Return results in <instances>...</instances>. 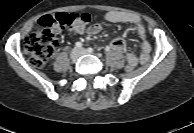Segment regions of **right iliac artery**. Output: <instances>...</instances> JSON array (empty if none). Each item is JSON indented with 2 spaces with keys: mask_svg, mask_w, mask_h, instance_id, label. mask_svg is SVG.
<instances>
[{
  "mask_svg": "<svg viewBox=\"0 0 194 133\" xmlns=\"http://www.w3.org/2000/svg\"><path fill=\"white\" fill-rule=\"evenodd\" d=\"M75 47L76 48H81L82 47V43L81 42H76L75 43Z\"/></svg>",
  "mask_w": 194,
  "mask_h": 133,
  "instance_id": "82829eb1",
  "label": "right iliac artery"
}]
</instances>
